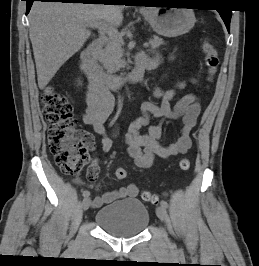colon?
I'll list each match as a JSON object with an SVG mask.
<instances>
[{"instance_id":"5ec220e1","label":"colon","mask_w":259,"mask_h":266,"mask_svg":"<svg viewBox=\"0 0 259 266\" xmlns=\"http://www.w3.org/2000/svg\"><path fill=\"white\" fill-rule=\"evenodd\" d=\"M201 49L205 55V65L211 80L217 71L219 57L216 49L206 40L201 42ZM42 110L48 125L47 137L49 148L62 172L76 174L88 163V146L92 144L89 133L77 127L73 116V108L69 100L54 87L48 86L41 96ZM181 170L190 168V161L183 158L179 161ZM115 176L123 180L127 176L124 168H117ZM143 200L152 204L159 202V197L148 191L142 193Z\"/></svg>"}]
</instances>
